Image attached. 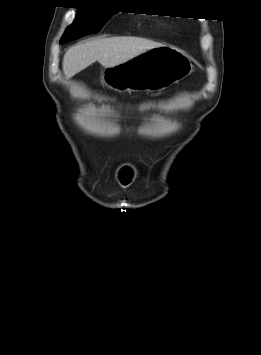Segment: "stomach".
Wrapping results in <instances>:
<instances>
[{
    "label": "stomach",
    "mask_w": 261,
    "mask_h": 355,
    "mask_svg": "<svg viewBox=\"0 0 261 355\" xmlns=\"http://www.w3.org/2000/svg\"><path fill=\"white\" fill-rule=\"evenodd\" d=\"M193 71L189 57L171 46L147 50L101 73L103 84L118 92L160 91Z\"/></svg>",
    "instance_id": "1"
}]
</instances>
